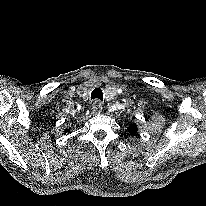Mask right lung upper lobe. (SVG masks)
<instances>
[{"label": "right lung upper lobe", "instance_id": "right-lung-upper-lobe-1", "mask_svg": "<svg viewBox=\"0 0 206 206\" xmlns=\"http://www.w3.org/2000/svg\"><path fill=\"white\" fill-rule=\"evenodd\" d=\"M65 132H70V130H68V129H65Z\"/></svg>", "mask_w": 206, "mask_h": 206}]
</instances>
